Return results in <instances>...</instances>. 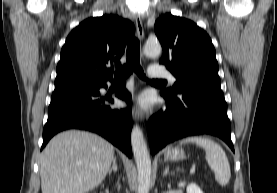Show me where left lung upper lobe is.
Segmentation results:
<instances>
[{
	"mask_svg": "<svg viewBox=\"0 0 277 193\" xmlns=\"http://www.w3.org/2000/svg\"><path fill=\"white\" fill-rule=\"evenodd\" d=\"M162 45L160 60L177 78L172 88L161 91L169 98L199 85H220L215 48L208 34L193 21L167 13L155 22Z\"/></svg>",
	"mask_w": 277,
	"mask_h": 193,
	"instance_id": "obj_1",
	"label": "left lung upper lobe"
}]
</instances>
